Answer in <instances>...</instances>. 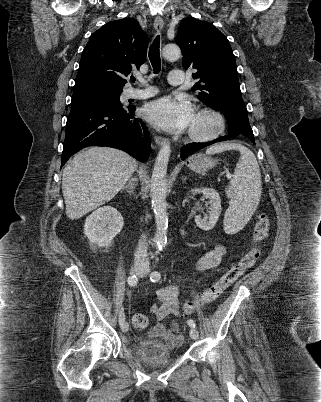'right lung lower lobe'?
<instances>
[{
  "instance_id": "obj_1",
  "label": "right lung lower lobe",
  "mask_w": 321,
  "mask_h": 402,
  "mask_svg": "<svg viewBox=\"0 0 321 402\" xmlns=\"http://www.w3.org/2000/svg\"><path fill=\"white\" fill-rule=\"evenodd\" d=\"M134 106L111 107L99 103L71 105L66 123L61 167L74 153L91 145L123 150L146 162L151 150L148 130L134 118Z\"/></svg>"
}]
</instances>
